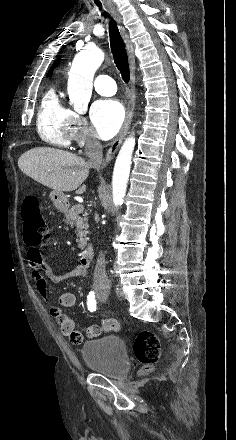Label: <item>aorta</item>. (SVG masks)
Instances as JSON below:
<instances>
[{
	"label": "aorta",
	"mask_w": 236,
	"mask_h": 440,
	"mask_svg": "<svg viewBox=\"0 0 236 440\" xmlns=\"http://www.w3.org/2000/svg\"><path fill=\"white\" fill-rule=\"evenodd\" d=\"M104 60V53L96 46H87L74 58L68 74L67 91L69 102L75 111L83 113L87 110L92 95L93 78L96 70ZM135 138L130 136L123 143L116 158L112 190L114 205L121 206L127 189Z\"/></svg>",
	"instance_id": "aorta-1"
}]
</instances>
